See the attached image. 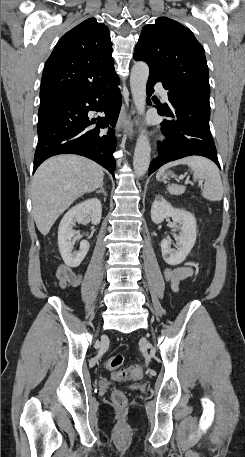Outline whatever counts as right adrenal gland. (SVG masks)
<instances>
[{
    "label": "right adrenal gland",
    "mask_w": 245,
    "mask_h": 457,
    "mask_svg": "<svg viewBox=\"0 0 245 457\" xmlns=\"http://www.w3.org/2000/svg\"><path fill=\"white\" fill-rule=\"evenodd\" d=\"M96 192H103V194H105V196H107V194L104 190L103 182H102V184H100V188H99V190H96Z\"/></svg>",
    "instance_id": "right-adrenal-gland-1"
}]
</instances>
